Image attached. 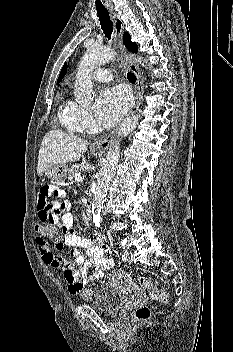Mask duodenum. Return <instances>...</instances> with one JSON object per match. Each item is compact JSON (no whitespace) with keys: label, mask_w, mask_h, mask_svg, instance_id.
<instances>
[{"label":"duodenum","mask_w":233,"mask_h":352,"mask_svg":"<svg viewBox=\"0 0 233 352\" xmlns=\"http://www.w3.org/2000/svg\"><path fill=\"white\" fill-rule=\"evenodd\" d=\"M85 216L88 220L92 219V209L90 207H87L85 209Z\"/></svg>","instance_id":"1"}]
</instances>
